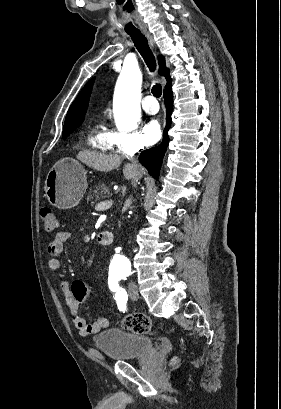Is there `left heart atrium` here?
I'll use <instances>...</instances> for the list:
<instances>
[{"mask_svg":"<svg viewBox=\"0 0 281 409\" xmlns=\"http://www.w3.org/2000/svg\"><path fill=\"white\" fill-rule=\"evenodd\" d=\"M144 140L147 144H154L161 136V127L157 120H151L144 128Z\"/></svg>","mask_w":281,"mask_h":409,"instance_id":"1","label":"left heart atrium"}]
</instances>
